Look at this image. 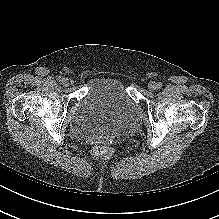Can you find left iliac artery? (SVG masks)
I'll return each mask as SVG.
<instances>
[{"instance_id": "left-iliac-artery-1", "label": "left iliac artery", "mask_w": 219, "mask_h": 219, "mask_svg": "<svg viewBox=\"0 0 219 219\" xmlns=\"http://www.w3.org/2000/svg\"><path fill=\"white\" fill-rule=\"evenodd\" d=\"M162 83L161 82H158L157 84H156V87H157V89H160V88H162Z\"/></svg>"}]
</instances>
